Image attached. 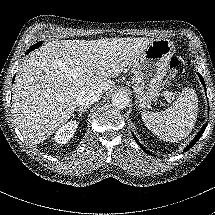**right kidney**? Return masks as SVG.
<instances>
[{
    "label": "right kidney",
    "mask_w": 215,
    "mask_h": 215,
    "mask_svg": "<svg viewBox=\"0 0 215 215\" xmlns=\"http://www.w3.org/2000/svg\"><path fill=\"white\" fill-rule=\"evenodd\" d=\"M77 129V123L75 121L64 124L59 128L58 132L55 135V140L59 144H66L71 140L75 131Z\"/></svg>",
    "instance_id": "1"
}]
</instances>
